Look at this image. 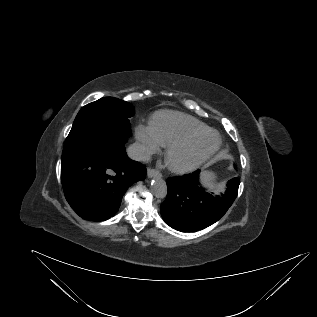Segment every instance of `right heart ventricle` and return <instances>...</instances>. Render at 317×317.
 <instances>
[{"label": "right heart ventricle", "instance_id": "1", "mask_svg": "<svg viewBox=\"0 0 317 317\" xmlns=\"http://www.w3.org/2000/svg\"><path fill=\"white\" fill-rule=\"evenodd\" d=\"M151 130L162 147L173 140L193 131L206 129L207 126L196 118L176 111L155 112L150 120Z\"/></svg>", "mask_w": 317, "mask_h": 317}]
</instances>
